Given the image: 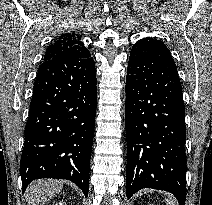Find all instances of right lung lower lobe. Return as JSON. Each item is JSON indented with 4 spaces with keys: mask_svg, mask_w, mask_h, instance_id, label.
<instances>
[{
    "mask_svg": "<svg viewBox=\"0 0 212 205\" xmlns=\"http://www.w3.org/2000/svg\"><path fill=\"white\" fill-rule=\"evenodd\" d=\"M96 84L91 56L41 63L25 127L20 163L23 192L35 179L56 178L74 182L88 195Z\"/></svg>",
    "mask_w": 212,
    "mask_h": 205,
    "instance_id": "1",
    "label": "right lung lower lobe"
}]
</instances>
